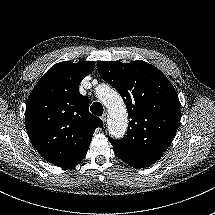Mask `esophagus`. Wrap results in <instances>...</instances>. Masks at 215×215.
<instances>
[{
    "label": "esophagus",
    "instance_id": "1",
    "mask_svg": "<svg viewBox=\"0 0 215 215\" xmlns=\"http://www.w3.org/2000/svg\"><path fill=\"white\" fill-rule=\"evenodd\" d=\"M100 118H101L102 122L105 124L106 120H107V114L104 113Z\"/></svg>",
    "mask_w": 215,
    "mask_h": 215
}]
</instances>
